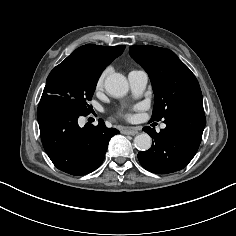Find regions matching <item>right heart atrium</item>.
<instances>
[{
	"mask_svg": "<svg viewBox=\"0 0 236 236\" xmlns=\"http://www.w3.org/2000/svg\"><path fill=\"white\" fill-rule=\"evenodd\" d=\"M109 72H110V68L108 67L100 73V75L98 76L96 80V88H100L103 85L104 80L106 76L109 74Z\"/></svg>",
	"mask_w": 236,
	"mask_h": 236,
	"instance_id": "d8ad5b80",
	"label": "right heart atrium"
}]
</instances>
